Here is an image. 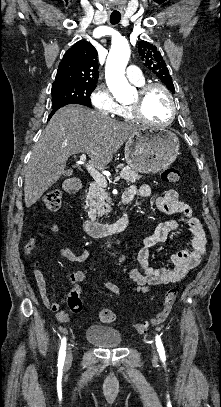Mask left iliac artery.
<instances>
[{"mask_svg":"<svg viewBox=\"0 0 221 407\" xmlns=\"http://www.w3.org/2000/svg\"><path fill=\"white\" fill-rule=\"evenodd\" d=\"M156 346H157V350H158V353H159V356H160V358H161V360L162 361H165L166 360V356H165V351H164V347H163V344H162V341H161V338H160V336L159 335H156Z\"/></svg>","mask_w":221,"mask_h":407,"instance_id":"left-iliac-artery-1","label":"left iliac artery"}]
</instances>
